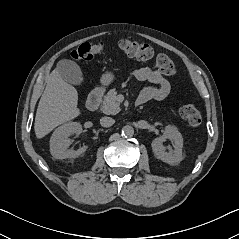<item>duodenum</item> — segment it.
Wrapping results in <instances>:
<instances>
[{
	"instance_id": "410a0bca",
	"label": "duodenum",
	"mask_w": 239,
	"mask_h": 239,
	"mask_svg": "<svg viewBox=\"0 0 239 239\" xmlns=\"http://www.w3.org/2000/svg\"><path fill=\"white\" fill-rule=\"evenodd\" d=\"M102 95V89L101 88H95L91 94L89 95L87 102H86V107L89 111H95L97 110L100 102V98ZM142 105L141 102H137L136 106Z\"/></svg>"
}]
</instances>
